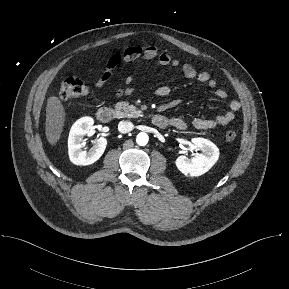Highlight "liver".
I'll return each instance as SVG.
<instances>
[{"instance_id": "liver-1", "label": "liver", "mask_w": 289, "mask_h": 289, "mask_svg": "<svg viewBox=\"0 0 289 289\" xmlns=\"http://www.w3.org/2000/svg\"><path fill=\"white\" fill-rule=\"evenodd\" d=\"M65 116V108L59 98L50 96L46 105L45 135L51 146H55L61 137Z\"/></svg>"}]
</instances>
